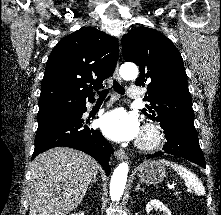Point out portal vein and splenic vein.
I'll return each instance as SVG.
<instances>
[{
	"label": "portal vein and splenic vein",
	"mask_w": 221,
	"mask_h": 215,
	"mask_svg": "<svg viewBox=\"0 0 221 215\" xmlns=\"http://www.w3.org/2000/svg\"><path fill=\"white\" fill-rule=\"evenodd\" d=\"M168 188H169L170 190H173V189L175 188V186H174V185H169Z\"/></svg>",
	"instance_id": "18ae733b"
}]
</instances>
